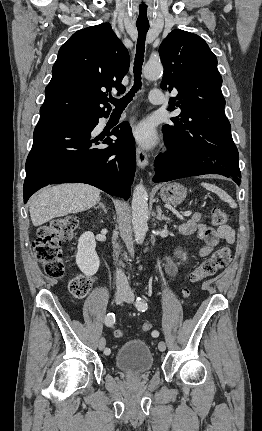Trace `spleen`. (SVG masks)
<instances>
[{"label": "spleen", "mask_w": 262, "mask_h": 431, "mask_svg": "<svg viewBox=\"0 0 262 431\" xmlns=\"http://www.w3.org/2000/svg\"><path fill=\"white\" fill-rule=\"evenodd\" d=\"M201 185L203 187H205L207 190L214 192L215 194H217L219 196V198L221 200H223L224 202H227L229 204V206L231 208H236L237 204L236 202L233 200V198L228 195L224 190H222L221 188L217 187L216 185L213 184H209V183H201Z\"/></svg>", "instance_id": "3e777b00"}]
</instances>
